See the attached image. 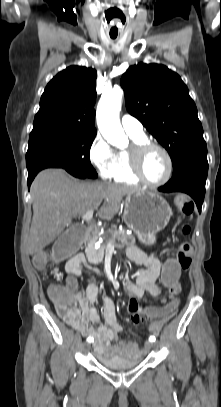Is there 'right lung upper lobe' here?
<instances>
[{
    "label": "right lung upper lobe",
    "mask_w": 221,
    "mask_h": 407,
    "mask_svg": "<svg viewBox=\"0 0 221 407\" xmlns=\"http://www.w3.org/2000/svg\"><path fill=\"white\" fill-rule=\"evenodd\" d=\"M97 73L92 68L70 66L46 86L33 130L65 128L96 133L94 128Z\"/></svg>",
    "instance_id": "1"
}]
</instances>
